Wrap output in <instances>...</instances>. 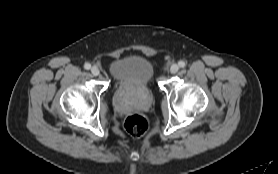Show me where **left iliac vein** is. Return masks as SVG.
Masks as SVG:
<instances>
[{"label":"left iliac vein","instance_id":"obj_1","mask_svg":"<svg viewBox=\"0 0 278 174\" xmlns=\"http://www.w3.org/2000/svg\"><path fill=\"white\" fill-rule=\"evenodd\" d=\"M179 70V66L177 64H173L171 67H170V72L172 74H176Z\"/></svg>","mask_w":278,"mask_h":174}]
</instances>
